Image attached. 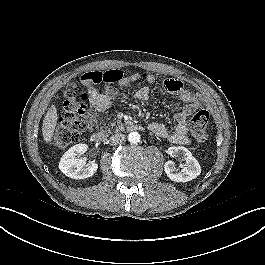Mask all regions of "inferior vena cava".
I'll return each instance as SVG.
<instances>
[{
    "mask_svg": "<svg viewBox=\"0 0 265 265\" xmlns=\"http://www.w3.org/2000/svg\"><path fill=\"white\" fill-rule=\"evenodd\" d=\"M125 139H126V136L124 134L117 133L115 135H112L110 137V140L109 141H110V144L111 145H118V144L124 143L125 142Z\"/></svg>",
    "mask_w": 265,
    "mask_h": 265,
    "instance_id": "602c4592",
    "label": "inferior vena cava"
}]
</instances>
